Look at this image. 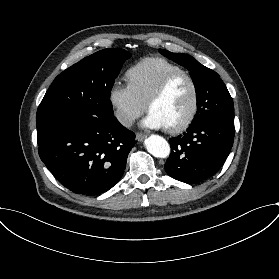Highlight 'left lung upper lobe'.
Returning a JSON list of instances; mask_svg holds the SVG:
<instances>
[{
  "instance_id": "obj_1",
  "label": "left lung upper lobe",
  "mask_w": 279,
  "mask_h": 279,
  "mask_svg": "<svg viewBox=\"0 0 279 279\" xmlns=\"http://www.w3.org/2000/svg\"><path fill=\"white\" fill-rule=\"evenodd\" d=\"M159 51L190 71L197 98V113L192 123L208 117L234 120L233 101L219 74L203 66L190 55L172 53L165 49Z\"/></svg>"
}]
</instances>
